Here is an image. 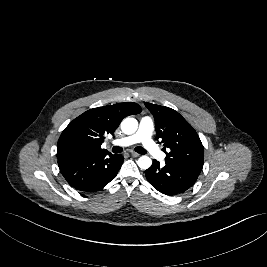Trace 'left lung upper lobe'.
<instances>
[{
	"mask_svg": "<svg viewBox=\"0 0 267 267\" xmlns=\"http://www.w3.org/2000/svg\"><path fill=\"white\" fill-rule=\"evenodd\" d=\"M155 119L156 139L166 152L165 164L200 174L203 168L204 150L194 128L175 110L145 103ZM160 143V142H159Z\"/></svg>",
	"mask_w": 267,
	"mask_h": 267,
	"instance_id": "left-lung-upper-lobe-1",
	"label": "left lung upper lobe"
}]
</instances>
